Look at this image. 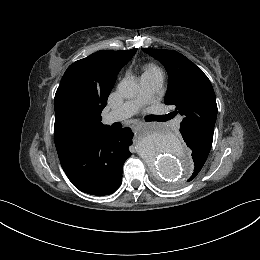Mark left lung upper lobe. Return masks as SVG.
<instances>
[{
  "label": "left lung upper lobe",
  "mask_w": 260,
  "mask_h": 260,
  "mask_svg": "<svg viewBox=\"0 0 260 260\" xmlns=\"http://www.w3.org/2000/svg\"><path fill=\"white\" fill-rule=\"evenodd\" d=\"M158 59L168 72L166 105H175L183 116L180 132L187 133L211 149L217 117L216 97L208 77L188 58L177 51L143 48ZM193 158V154H192ZM207 158L194 159V170L200 171Z\"/></svg>",
  "instance_id": "obj_1"
}]
</instances>
